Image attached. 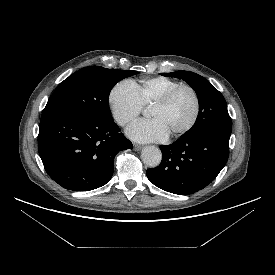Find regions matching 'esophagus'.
Here are the masks:
<instances>
[{"label": "esophagus", "mask_w": 275, "mask_h": 275, "mask_svg": "<svg viewBox=\"0 0 275 275\" xmlns=\"http://www.w3.org/2000/svg\"><path fill=\"white\" fill-rule=\"evenodd\" d=\"M143 147L141 145L138 144H134V150L135 151H140Z\"/></svg>", "instance_id": "obj_1"}]
</instances>
